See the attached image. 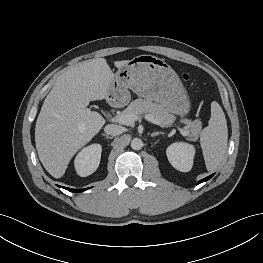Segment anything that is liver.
<instances>
[{"label": "liver", "mask_w": 263, "mask_h": 263, "mask_svg": "<svg viewBox=\"0 0 263 263\" xmlns=\"http://www.w3.org/2000/svg\"><path fill=\"white\" fill-rule=\"evenodd\" d=\"M128 61L114 65L120 69ZM113 79L106 59H90L64 71L46 96L36 121L35 143L41 163L54 178L64 175L73 155L104 126L105 119L87 106L107 98Z\"/></svg>", "instance_id": "1"}]
</instances>
